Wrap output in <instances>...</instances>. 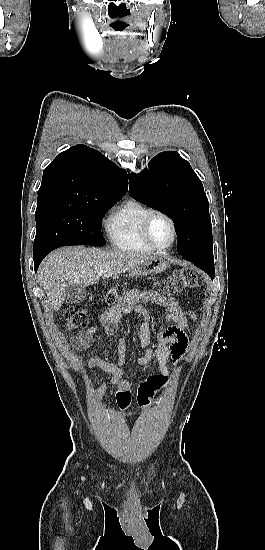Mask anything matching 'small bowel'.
Here are the masks:
<instances>
[{
    "mask_svg": "<svg viewBox=\"0 0 265 550\" xmlns=\"http://www.w3.org/2000/svg\"><path fill=\"white\" fill-rule=\"evenodd\" d=\"M142 303H155L166 309V320L174 325L161 330L158 335V346L153 349L150 346V324L151 316L142 306ZM131 312L138 313L141 323L138 327L137 336L140 345V354L136 358L139 365H147L152 359L159 364L160 374L168 383L170 377L169 361L174 365L181 362L187 352V330L190 324V317L182 310L181 304L174 298L161 297L154 291H140L132 289L128 291L120 301L103 312L99 318V324L107 333L114 335L116 323L123 314ZM97 332V327H90L84 332L75 335L71 339L74 349L83 351L87 349ZM74 358L72 354L69 355ZM126 361V344L123 338H117V355L114 361L106 362L98 357H91L88 360V367L108 373L111 376L110 383L117 388L116 398L121 409L127 410L131 404L130 389L131 382L124 379L123 366ZM109 383H104L97 392V399L101 400L107 392Z\"/></svg>",
    "mask_w": 265,
    "mask_h": 550,
    "instance_id": "obj_1",
    "label": "small bowel"
}]
</instances>
